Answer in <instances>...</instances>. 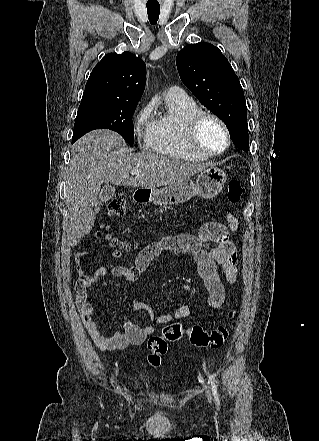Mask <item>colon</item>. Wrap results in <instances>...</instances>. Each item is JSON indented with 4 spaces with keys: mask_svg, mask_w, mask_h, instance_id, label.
<instances>
[{
    "mask_svg": "<svg viewBox=\"0 0 319 441\" xmlns=\"http://www.w3.org/2000/svg\"><path fill=\"white\" fill-rule=\"evenodd\" d=\"M244 187L238 180H231L227 188V201L231 204L238 203L244 195ZM126 199L123 194L118 193L108 203V212L110 215L121 216L126 210ZM108 239L120 250L115 251L116 255H120L122 250H129L131 245L119 240L117 237L108 235ZM232 312L229 317H232ZM190 342L192 345L199 348H221L229 337V327L227 325H220L210 331L203 329L201 326H193L188 331ZM182 335V330L179 322H171L167 324L159 335L149 337L147 347L150 350L148 362L154 366L159 367L162 362V357L167 351L168 342L178 340Z\"/></svg>",
    "mask_w": 319,
    "mask_h": 441,
    "instance_id": "obj_1",
    "label": "colon"
}]
</instances>
